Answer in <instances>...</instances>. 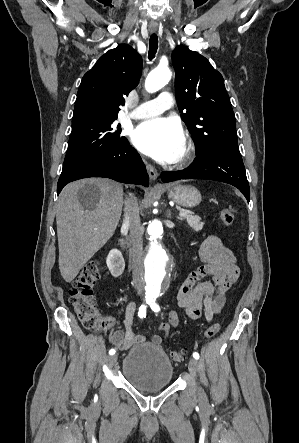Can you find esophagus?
Masks as SVG:
<instances>
[{
  "label": "esophagus",
  "instance_id": "obj_1",
  "mask_svg": "<svg viewBox=\"0 0 299 443\" xmlns=\"http://www.w3.org/2000/svg\"><path fill=\"white\" fill-rule=\"evenodd\" d=\"M149 30L151 32H155V31H157V28L152 27ZM146 168H147V172L149 174L150 179L153 180V181H156V179L158 178L157 170L152 165H150V164H147ZM157 186H161V185L157 184Z\"/></svg>",
  "mask_w": 299,
  "mask_h": 443
}]
</instances>
